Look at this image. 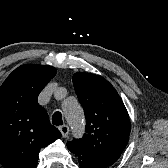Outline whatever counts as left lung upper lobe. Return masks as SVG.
<instances>
[{
  "label": "left lung upper lobe",
  "instance_id": "5c2ea615",
  "mask_svg": "<svg viewBox=\"0 0 168 168\" xmlns=\"http://www.w3.org/2000/svg\"><path fill=\"white\" fill-rule=\"evenodd\" d=\"M73 85L84 109L86 130L82 139L67 142L68 149L110 166L128 143V112L114 87L97 75L77 72Z\"/></svg>",
  "mask_w": 168,
  "mask_h": 168
}]
</instances>
